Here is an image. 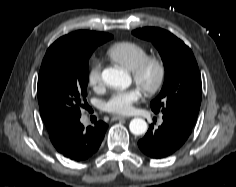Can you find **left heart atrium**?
<instances>
[{
	"label": "left heart atrium",
	"instance_id": "39dd6f15",
	"mask_svg": "<svg viewBox=\"0 0 236 187\" xmlns=\"http://www.w3.org/2000/svg\"><path fill=\"white\" fill-rule=\"evenodd\" d=\"M141 91L134 87L127 90L117 91L106 102V110L117 115H125L132 111V106L139 100Z\"/></svg>",
	"mask_w": 236,
	"mask_h": 187
}]
</instances>
